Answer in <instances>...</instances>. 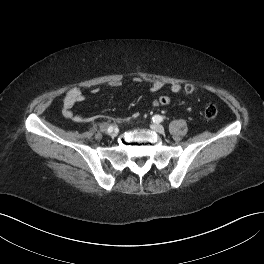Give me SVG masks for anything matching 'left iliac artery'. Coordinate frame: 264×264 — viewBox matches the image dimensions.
<instances>
[{
    "label": "left iliac artery",
    "mask_w": 264,
    "mask_h": 264,
    "mask_svg": "<svg viewBox=\"0 0 264 264\" xmlns=\"http://www.w3.org/2000/svg\"><path fill=\"white\" fill-rule=\"evenodd\" d=\"M152 120L155 123H159V122H162L163 121V117L160 116V115H155V116H153Z\"/></svg>",
    "instance_id": "44dca946"
}]
</instances>
